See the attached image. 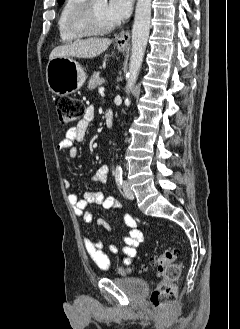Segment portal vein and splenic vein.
<instances>
[{
    "instance_id": "1",
    "label": "portal vein and splenic vein",
    "mask_w": 240,
    "mask_h": 329,
    "mask_svg": "<svg viewBox=\"0 0 240 329\" xmlns=\"http://www.w3.org/2000/svg\"><path fill=\"white\" fill-rule=\"evenodd\" d=\"M104 92V87H101L100 89H99V93H103Z\"/></svg>"
}]
</instances>
